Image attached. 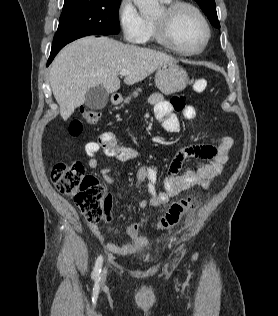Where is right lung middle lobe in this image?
Instances as JSON below:
<instances>
[{
	"mask_svg": "<svg viewBox=\"0 0 278 316\" xmlns=\"http://www.w3.org/2000/svg\"><path fill=\"white\" fill-rule=\"evenodd\" d=\"M121 0H65L52 48L88 35L119 33Z\"/></svg>",
	"mask_w": 278,
	"mask_h": 316,
	"instance_id": "right-lung-middle-lobe-1",
	"label": "right lung middle lobe"
}]
</instances>
